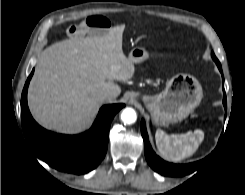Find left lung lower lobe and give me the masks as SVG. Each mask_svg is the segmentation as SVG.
<instances>
[{
	"mask_svg": "<svg viewBox=\"0 0 245 195\" xmlns=\"http://www.w3.org/2000/svg\"><path fill=\"white\" fill-rule=\"evenodd\" d=\"M217 66L220 72L222 73L220 62L217 63ZM223 92H224L223 104L226 109L227 102H226V94L224 90V78H223ZM141 133L144 140V152H145L146 160L150 165V167L156 172H158L159 174L164 176H170V177H179V176L190 174L197 169V166L200 163V161L195 163L184 164V165H177V164L166 162L162 160L159 156H157L149 143L144 120L141 121Z\"/></svg>",
	"mask_w": 245,
	"mask_h": 195,
	"instance_id": "obj_1",
	"label": "left lung lower lobe"
}]
</instances>
